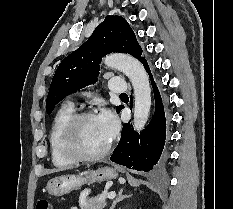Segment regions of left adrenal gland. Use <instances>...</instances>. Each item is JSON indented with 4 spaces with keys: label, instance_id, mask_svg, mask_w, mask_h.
Returning <instances> with one entry per match:
<instances>
[{
    "label": "left adrenal gland",
    "instance_id": "obj_1",
    "mask_svg": "<svg viewBox=\"0 0 233 209\" xmlns=\"http://www.w3.org/2000/svg\"><path fill=\"white\" fill-rule=\"evenodd\" d=\"M129 196H131V195H123V190H120L117 198L113 201L110 209H114L115 206L117 205V203H119L120 201H122L125 198H128Z\"/></svg>",
    "mask_w": 233,
    "mask_h": 209
}]
</instances>
